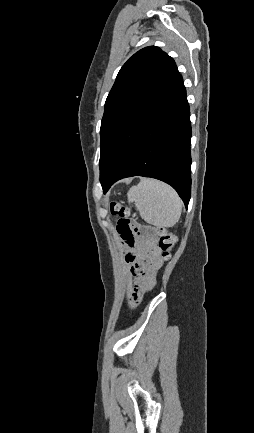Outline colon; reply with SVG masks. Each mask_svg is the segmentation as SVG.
<instances>
[{"instance_id": "5ec220e1", "label": "colon", "mask_w": 254, "mask_h": 433, "mask_svg": "<svg viewBox=\"0 0 254 433\" xmlns=\"http://www.w3.org/2000/svg\"><path fill=\"white\" fill-rule=\"evenodd\" d=\"M110 213L119 217L117 231L121 240L127 245L132 246L137 236H154L156 235L158 247L164 258H168L173 250L177 237L171 231L164 227L151 228L144 227L138 221L135 214L121 203L113 201L110 203Z\"/></svg>"}]
</instances>
